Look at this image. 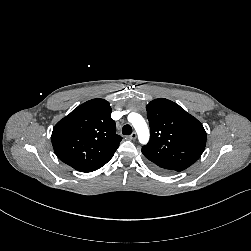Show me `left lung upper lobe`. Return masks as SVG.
<instances>
[{
  "mask_svg": "<svg viewBox=\"0 0 251 251\" xmlns=\"http://www.w3.org/2000/svg\"><path fill=\"white\" fill-rule=\"evenodd\" d=\"M146 110L150 140L142 153L154 167L180 172L200 158L206 132L195 117L164 98L151 101Z\"/></svg>",
  "mask_w": 251,
  "mask_h": 251,
  "instance_id": "1",
  "label": "left lung upper lobe"
}]
</instances>
